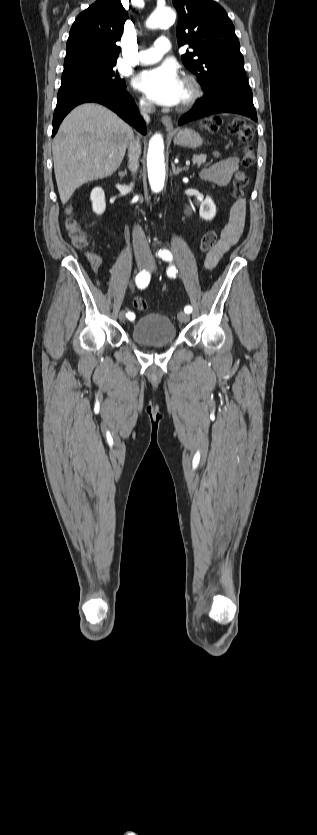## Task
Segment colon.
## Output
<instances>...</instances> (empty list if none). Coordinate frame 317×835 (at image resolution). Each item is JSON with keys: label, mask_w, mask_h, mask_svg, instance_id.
I'll return each instance as SVG.
<instances>
[{"label": "colon", "mask_w": 317, "mask_h": 835, "mask_svg": "<svg viewBox=\"0 0 317 835\" xmlns=\"http://www.w3.org/2000/svg\"><path fill=\"white\" fill-rule=\"evenodd\" d=\"M221 123L222 121L219 117H209L204 119L201 125L204 131L213 134L219 130ZM229 131L233 136H235L240 142L244 144L242 153V163L245 167H250L255 162V152L250 144L254 136L252 127L249 126L244 120L237 119L229 125ZM247 184L248 178L243 171H239L234 175L232 180V188L234 197L236 198L238 204H241L244 195V189L246 188ZM67 231L75 247L79 249L87 247L89 241L87 232L75 219L69 218L67 220ZM216 241L217 235L214 231L206 232L199 243L200 252L205 253L211 251L213 247L216 245ZM133 303L134 306L139 310H146L148 307L147 301L142 297H136Z\"/></svg>", "instance_id": "1"}]
</instances>
